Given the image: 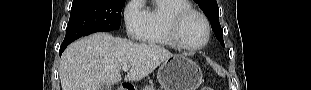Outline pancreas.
<instances>
[{
  "instance_id": "obj_1",
  "label": "pancreas",
  "mask_w": 311,
  "mask_h": 90,
  "mask_svg": "<svg viewBox=\"0 0 311 90\" xmlns=\"http://www.w3.org/2000/svg\"><path fill=\"white\" fill-rule=\"evenodd\" d=\"M142 90H156L155 88H154V86H145V88H143Z\"/></svg>"
}]
</instances>
